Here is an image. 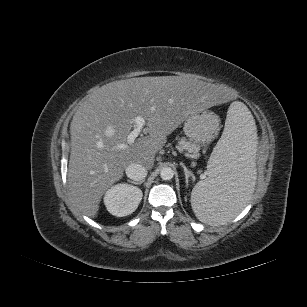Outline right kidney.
<instances>
[{"label":"right kidney","mask_w":307,"mask_h":307,"mask_svg":"<svg viewBox=\"0 0 307 307\" xmlns=\"http://www.w3.org/2000/svg\"><path fill=\"white\" fill-rule=\"evenodd\" d=\"M142 196L143 193L138 187L120 183L106 191L104 203L108 212L112 215L124 217L137 209Z\"/></svg>","instance_id":"1"}]
</instances>
